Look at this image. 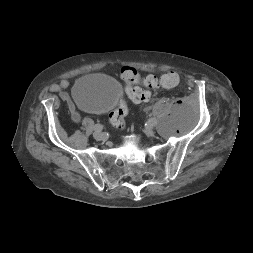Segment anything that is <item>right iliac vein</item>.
Masks as SVG:
<instances>
[{
  "mask_svg": "<svg viewBox=\"0 0 253 253\" xmlns=\"http://www.w3.org/2000/svg\"><path fill=\"white\" fill-rule=\"evenodd\" d=\"M94 138L97 140H104L105 139V134H103L101 131L97 130L93 134Z\"/></svg>",
  "mask_w": 253,
  "mask_h": 253,
  "instance_id": "obj_1",
  "label": "right iliac vein"
}]
</instances>
